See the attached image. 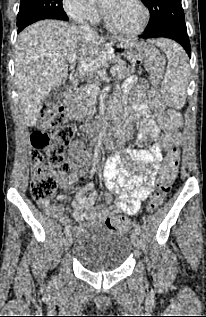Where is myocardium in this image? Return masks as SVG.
Returning a JSON list of instances; mask_svg holds the SVG:
<instances>
[{
    "label": "myocardium",
    "mask_w": 206,
    "mask_h": 317,
    "mask_svg": "<svg viewBox=\"0 0 206 317\" xmlns=\"http://www.w3.org/2000/svg\"><path fill=\"white\" fill-rule=\"evenodd\" d=\"M133 1L140 7L142 11V15H143L140 25L134 30H122L115 27L107 18L103 8L101 9L102 20L104 22L105 27L110 32L120 36H124V37H132V36L141 34L145 30L150 19V11L148 7L146 6V4L143 2V0H133Z\"/></svg>",
    "instance_id": "myocardium-1"
}]
</instances>
